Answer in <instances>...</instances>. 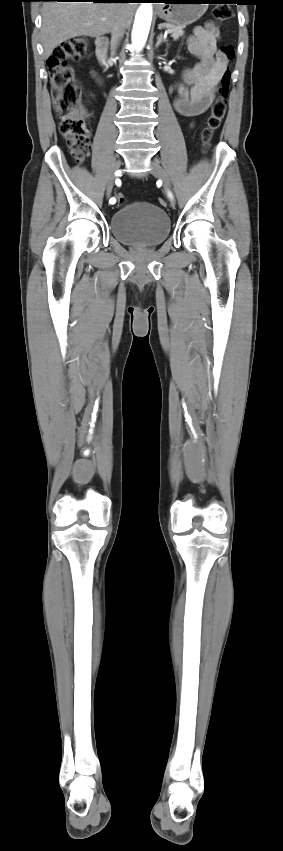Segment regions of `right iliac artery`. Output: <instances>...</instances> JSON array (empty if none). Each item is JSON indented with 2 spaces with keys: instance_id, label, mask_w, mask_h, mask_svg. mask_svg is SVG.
Here are the masks:
<instances>
[{
  "instance_id": "right-iliac-artery-1",
  "label": "right iliac artery",
  "mask_w": 283,
  "mask_h": 851,
  "mask_svg": "<svg viewBox=\"0 0 283 851\" xmlns=\"http://www.w3.org/2000/svg\"><path fill=\"white\" fill-rule=\"evenodd\" d=\"M116 184H117V188H120V187H121L120 179H116ZM109 202H110V204H114V203L116 202V200H115V198H111V199L109 200Z\"/></svg>"
}]
</instances>
